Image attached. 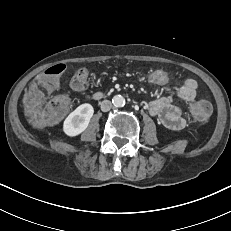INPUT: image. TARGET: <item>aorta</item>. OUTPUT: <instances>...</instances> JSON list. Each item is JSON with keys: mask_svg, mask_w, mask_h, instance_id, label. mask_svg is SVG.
<instances>
[{"mask_svg": "<svg viewBox=\"0 0 231 231\" xmlns=\"http://www.w3.org/2000/svg\"><path fill=\"white\" fill-rule=\"evenodd\" d=\"M112 104L115 107H123L125 105V98L122 95H115L112 98Z\"/></svg>", "mask_w": 231, "mask_h": 231, "instance_id": "762f6f07", "label": "aorta"}]
</instances>
